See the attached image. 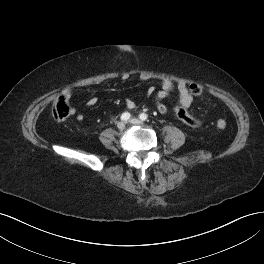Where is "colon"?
Segmentation results:
<instances>
[{"label":"colon","instance_id":"5ec220e1","mask_svg":"<svg viewBox=\"0 0 264 264\" xmlns=\"http://www.w3.org/2000/svg\"><path fill=\"white\" fill-rule=\"evenodd\" d=\"M189 92L192 95L200 96L203 94V88L201 85L197 83H191L188 86ZM175 115L179 120H181L186 125L192 128H199L201 126V122L190 115L188 111L183 106H175L173 109ZM71 113V109L67 99L64 96H60L54 103L53 106V116L57 121L66 120ZM217 127L219 129H225L227 127V123L223 119H219L217 121Z\"/></svg>","mask_w":264,"mask_h":264}]
</instances>
